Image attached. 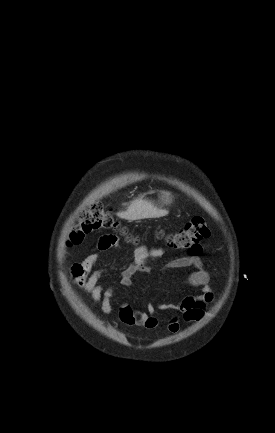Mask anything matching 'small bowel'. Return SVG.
Segmentation results:
<instances>
[{"mask_svg": "<svg viewBox=\"0 0 275 433\" xmlns=\"http://www.w3.org/2000/svg\"><path fill=\"white\" fill-rule=\"evenodd\" d=\"M117 238L114 235L103 236L97 245L99 252L107 251L117 247ZM202 247L198 245L194 254L180 256L171 260L168 268H188L192 272L186 278V284L190 287L200 288V292L195 295L186 296L177 305L161 304L158 307L149 305L147 311L134 310L127 304L119 307L118 315L120 321L127 326H140L146 329H155L158 326V309L176 310L183 315L186 322L198 321L204 314L205 306L214 299V293L209 285L210 276L205 268L204 262L200 258ZM95 252L88 255L83 261L74 264L71 270L75 284L81 287L90 299L99 306L100 310L109 315L113 311L112 297L113 289L106 288L99 283L101 276L105 273V268L95 269V264L99 260L100 253ZM164 250L158 247H147L138 245L133 251V261L121 272L120 283L128 287L132 284V276L138 272H147L150 269L151 261L160 258ZM180 329L178 316H172L168 321V330L175 334Z\"/></svg>", "mask_w": 275, "mask_h": 433, "instance_id": "1", "label": "small bowel"}]
</instances>
